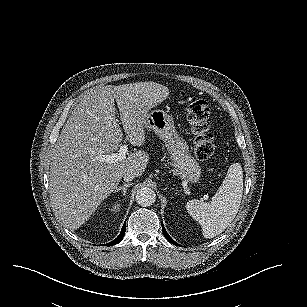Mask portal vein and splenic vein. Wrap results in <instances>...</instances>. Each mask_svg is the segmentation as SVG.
<instances>
[{"label": "portal vein and splenic vein", "mask_w": 307, "mask_h": 307, "mask_svg": "<svg viewBox=\"0 0 307 307\" xmlns=\"http://www.w3.org/2000/svg\"><path fill=\"white\" fill-rule=\"evenodd\" d=\"M127 152H128V145H122L120 146V149L117 153L101 155L98 157V159L106 163H114L125 160Z\"/></svg>", "instance_id": "18ae733b"}]
</instances>
